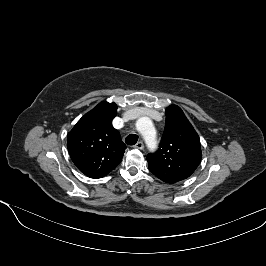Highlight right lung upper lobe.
<instances>
[{
	"mask_svg": "<svg viewBox=\"0 0 266 266\" xmlns=\"http://www.w3.org/2000/svg\"><path fill=\"white\" fill-rule=\"evenodd\" d=\"M117 105L103 101L85 114L67 135L70 157L75 166L90 178H101L122 160L125 144L111 120Z\"/></svg>",
	"mask_w": 266,
	"mask_h": 266,
	"instance_id": "cb5924a9",
	"label": "right lung upper lobe"
}]
</instances>
